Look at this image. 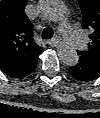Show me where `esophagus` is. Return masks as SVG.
<instances>
[{
    "mask_svg": "<svg viewBox=\"0 0 100 118\" xmlns=\"http://www.w3.org/2000/svg\"><path fill=\"white\" fill-rule=\"evenodd\" d=\"M60 42V37L59 36H54L51 40H48L47 43L52 46V47H55L59 44Z\"/></svg>",
    "mask_w": 100,
    "mask_h": 118,
    "instance_id": "obj_1",
    "label": "esophagus"
}]
</instances>
